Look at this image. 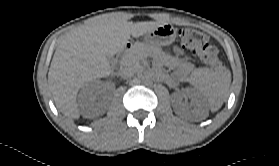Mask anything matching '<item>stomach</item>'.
<instances>
[{"label":"stomach","instance_id":"obj_1","mask_svg":"<svg viewBox=\"0 0 279 166\" xmlns=\"http://www.w3.org/2000/svg\"><path fill=\"white\" fill-rule=\"evenodd\" d=\"M176 38V31L171 24H162L145 35V41L151 45L167 46Z\"/></svg>","mask_w":279,"mask_h":166}]
</instances>
